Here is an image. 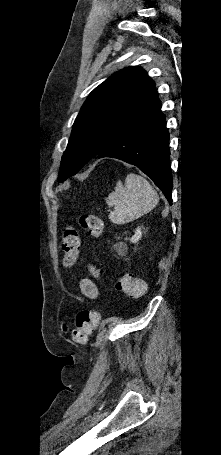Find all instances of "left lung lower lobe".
<instances>
[{
	"label": "left lung lower lobe",
	"instance_id": "obj_1",
	"mask_svg": "<svg viewBox=\"0 0 221 455\" xmlns=\"http://www.w3.org/2000/svg\"><path fill=\"white\" fill-rule=\"evenodd\" d=\"M169 132L161 103L125 127L97 155L112 157L137 166L172 203Z\"/></svg>",
	"mask_w": 221,
	"mask_h": 455
}]
</instances>
